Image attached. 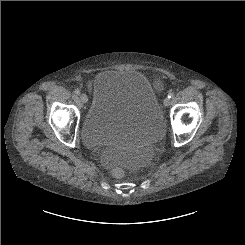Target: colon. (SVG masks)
<instances>
[{
	"instance_id": "5ec220e1",
	"label": "colon",
	"mask_w": 245,
	"mask_h": 245,
	"mask_svg": "<svg viewBox=\"0 0 245 245\" xmlns=\"http://www.w3.org/2000/svg\"><path fill=\"white\" fill-rule=\"evenodd\" d=\"M113 174L116 177H122L125 174V168L122 165H118V166L114 167Z\"/></svg>"
}]
</instances>
